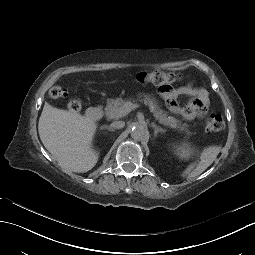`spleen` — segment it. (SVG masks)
Listing matches in <instances>:
<instances>
[{"label": "spleen", "mask_w": 255, "mask_h": 255, "mask_svg": "<svg viewBox=\"0 0 255 255\" xmlns=\"http://www.w3.org/2000/svg\"><path fill=\"white\" fill-rule=\"evenodd\" d=\"M220 152V147L218 146H208L203 149L199 155V163H192L180 174L181 178L192 179L202 172L215 160L218 153ZM197 153V150L188 142H182L177 145L175 154L180 160H188Z\"/></svg>", "instance_id": "obj_1"}]
</instances>
